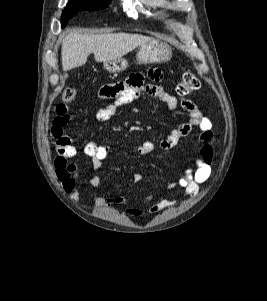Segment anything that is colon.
<instances>
[{
	"label": "colon",
	"instance_id": "colon-1",
	"mask_svg": "<svg viewBox=\"0 0 267 301\" xmlns=\"http://www.w3.org/2000/svg\"><path fill=\"white\" fill-rule=\"evenodd\" d=\"M200 86L197 77L189 70L184 71L181 79L177 86V92L180 95H188L196 91ZM76 97V89L73 87H68L64 90L62 94V101L69 103L73 101Z\"/></svg>",
	"mask_w": 267,
	"mask_h": 301
}]
</instances>
